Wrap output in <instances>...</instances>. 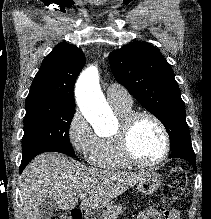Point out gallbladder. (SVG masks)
<instances>
[{"mask_svg": "<svg viewBox=\"0 0 211 219\" xmlns=\"http://www.w3.org/2000/svg\"><path fill=\"white\" fill-rule=\"evenodd\" d=\"M57 210L58 207L52 199L44 200L40 205L41 219H50Z\"/></svg>", "mask_w": 211, "mask_h": 219, "instance_id": "1", "label": "gallbladder"}]
</instances>
